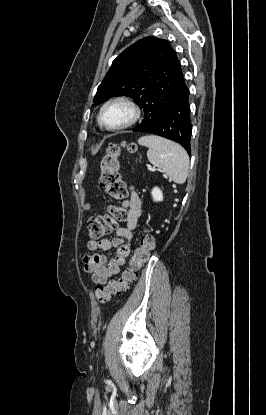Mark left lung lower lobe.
<instances>
[{
    "mask_svg": "<svg viewBox=\"0 0 266 415\" xmlns=\"http://www.w3.org/2000/svg\"><path fill=\"white\" fill-rule=\"evenodd\" d=\"M189 89L185 85L166 111L150 126L139 132L156 134L181 144L191 155V120Z\"/></svg>",
    "mask_w": 266,
    "mask_h": 415,
    "instance_id": "obj_1",
    "label": "left lung lower lobe"
}]
</instances>
